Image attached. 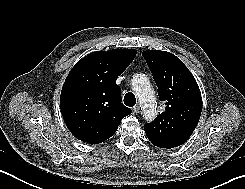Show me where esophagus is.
<instances>
[{"label": "esophagus", "instance_id": "esophagus-1", "mask_svg": "<svg viewBox=\"0 0 245 189\" xmlns=\"http://www.w3.org/2000/svg\"><path fill=\"white\" fill-rule=\"evenodd\" d=\"M132 111H133L134 115H137L140 111V107L138 105H136L132 108Z\"/></svg>", "mask_w": 245, "mask_h": 189}]
</instances>
